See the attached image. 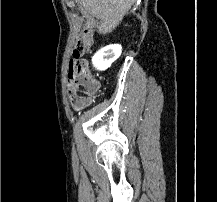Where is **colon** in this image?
I'll list each match as a JSON object with an SVG mask.
<instances>
[{
	"instance_id": "5ec220e1",
	"label": "colon",
	"mask_w": 217,
	"mask_h": 202,
	"mask_svg": "<svg viewBox=\"0 0 217 202\" xmlns=\"http://www.w3.org/2000/svg\"><path fill=\"white\" fill-rule=\"evenodd\" d=\"M89 41H94V36H76V46H89ZM72 54H84V49H72ZM68 64H73L69 68L68 78L71 91L74 98H70V103H79L87 105L91 103L92 98H96V92L100 91V86L88 77L86 68L89 67L87 59H82V55H73L72 59H68Z\"/></svg>"
}]
</instances>
